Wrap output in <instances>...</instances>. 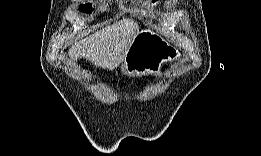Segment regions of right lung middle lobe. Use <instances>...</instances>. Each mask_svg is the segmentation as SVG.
I'll return each instance as SVG.
<instances>
[{
  "label": "right lung middle lobe",
  "mask_w": 261,
  "mask_h": 156,
  "mask_svg": "<svg viewBox=\"0 0 261 156\" xmlns=\"http://www.w3.org/2000/svg\"><path fill=\"white\" fill-rule=\"evenodd\" d=\"M80 11L86 12V13H91V11H92L91 4L81 5Z\"/></svg>",
  "instance_id": "dd1d6c3e"
}]
</instances>
